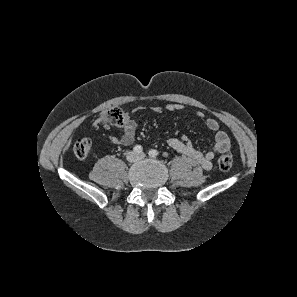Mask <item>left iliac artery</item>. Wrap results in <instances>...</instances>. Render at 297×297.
I'll return each instance as SVG.
<instances>
[{"instance_id": "1", "label": "left iliac artery", "mask_w": 297, "mask_h": 297, "mask_svg": "<svg viewBox=\"0 0 297 297\" xmlns=\"http://www.w3.org/2000/svg\"><path fill=\"white\" fill-rule=\"evenodd\" d=\"M148 154L150 157H156L158 156L159 152L155 149H151Z\"/></svg>"}]
</instances>
